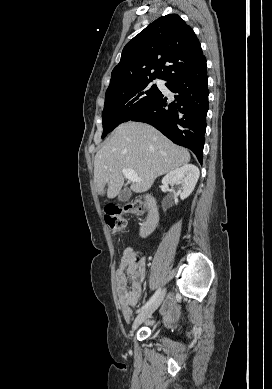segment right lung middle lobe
<instances>
[{
	"mask_svg": "<svg viewBox=\"0 0 272 389\" xmlns=\"http://www.w3.org/2000/svg\"><path fill=\"white\" fill-rule=\"evenodd\" d=\"M151 81L145 80L106 92L102 138L158 97L160 90L155 84L151 85Z\"/></svg>",
	"mask_w": 272,
	"mask_h": 389,
	"instance_id": "obj_1",
	"label": "right lung middle lobe"
}]
</instances>
